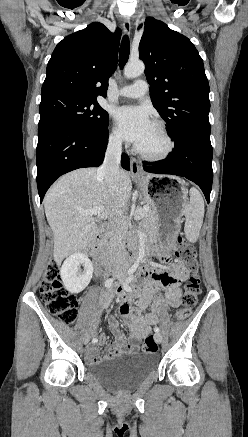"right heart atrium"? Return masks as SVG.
Returning <instances> with one entry per match:
<instances>
[{"label":"right heart atrium","mask_w":248,"mask_h":437,"mask_svg":"<svg viewBox=\"0 0 248 437\" xmlns=\"http://www.w3.org/2000/svg\"><path fill=\"white\" fill-rule=\"evenodd\" d=\"M108 142L112 147H119L122 143L120 135L114 128L109 131Z\"/></svg>","instance_id":"obj_1"}]
</instances>
